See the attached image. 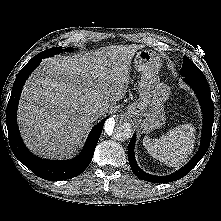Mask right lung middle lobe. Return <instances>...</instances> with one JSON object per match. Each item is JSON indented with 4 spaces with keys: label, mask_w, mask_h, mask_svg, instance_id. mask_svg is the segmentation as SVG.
Segmentation results:
<instances>
[{
    "label": "right lung middle lobe",
    "mask_w": 221,
    "mask_h": 221,
    "mask_svg": "<svg viewBox=\"0 0 221 221\" xmlns=\"http://www.w3.org/2000/svg\"><path fill=\"white\" fill-rule=\"evenodd\" d=\"M62 51H67V52H70L72 51V48L71 47H68L66 49H62V47H54V48H51V49H47L41 53L38 54V56H42L43 58H46V57H51L53 56L54 54H57V53H60Z\"/></svg>",
    "instance_id": "right-lung-middle-lobe-1"
}]
</instances>
